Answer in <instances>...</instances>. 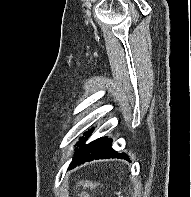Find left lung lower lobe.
Listing matches in <instances>:
<instances>
[{"instance_id": "obj_1", "label": "left lung lower lobe", "mask_w": 191, "mask_h": 197, "mask_svg": "<svg viewBox=\"0 0 191 197\" xmlns=\"http://www.w3.org/2000/svg\"><path fill=\"white\" fill-rule=\"evenodd\" d=\"M94 128L86 132V137L80 138L81 143H78V151L75 153L72 162L69 165V170L75 168L77 165L83 164L87 161L94 159H108V158H121L129 160V156L126 153H118L112 148L113 140L107 137H101L96 139L87 145H82L84 141L92 134Z\"/></svg>"}]
</instances>
